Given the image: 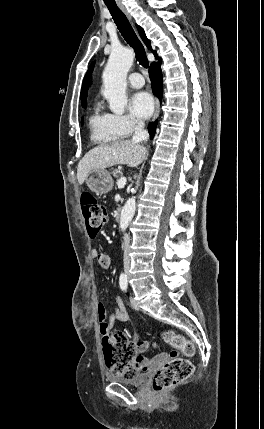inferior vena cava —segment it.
<instances>
[{
    "label": "inferior vena cava",
    "mask_w": 264,
    "mask_h": 429,
    "mask_svg": "<svg viewBox=\"0 0 264 429\" xmlns=\"http://www.w3.org/2000/svg\"><path fill=\"white\" fill-rule=\"evenodd\" d=\"M149 137L148 131L145 129V123L141 119H137L135 121V127H134V135L132 138L133 143H138L142 141H147ZM130 238L128 236L125 237L123 248L125 250L124 252V270L127 272L130 268Z\"/></svg>",
    "instance_id": "602c4592"
}]
</instances>
